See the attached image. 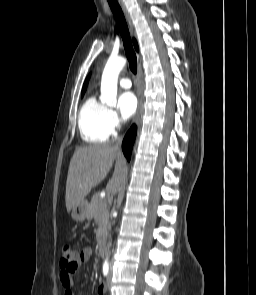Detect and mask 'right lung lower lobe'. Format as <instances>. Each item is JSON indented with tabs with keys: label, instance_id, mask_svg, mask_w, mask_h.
Returning <instances> with one entry per match:
<instances>
[{
	"label": "right lung lower lobe",
	"instance_id": "1",
	"mask_svg": "<svg viewBox=\"0 0 256 295\" xmlns=\"http://www.w3.org/2000/svg\"><path fill=\"white\" fill-rule=\"evenodd\" d=\"M136 131H137L136 126L133 125L131 129L126 133L123 139L122 149L128 161L130 160V157H131V151H132L133 143L135 140Z\"/></svg>",
	"mask_w": 256,
	"mask_h": 295
}]
</instances>
